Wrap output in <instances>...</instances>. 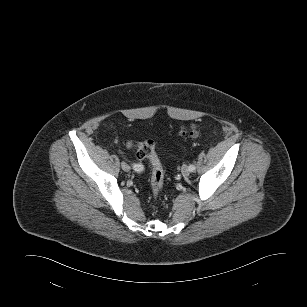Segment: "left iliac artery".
<instances>
[{
    "instance_id": "1",
    "label": "left iliac artery",
    "mask_w": 307,
    "mask_h": 307,
    "mask_svg": "<svg viewBox=\"0 0 307 307\" xmlns=\"http://www.w3.org/2000/svg\"><path fill=\"white\" fill-rule=\"evenodd\" d=\"M189 169H190L191 172H194L196 167H195V165L192 164V165H189Z\"/></svg>"
}]
</instances>
